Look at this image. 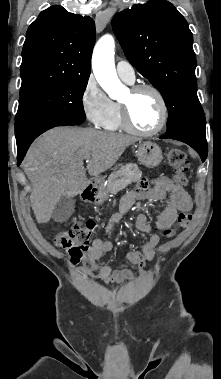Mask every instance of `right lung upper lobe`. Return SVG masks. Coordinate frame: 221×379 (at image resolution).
<instances>
[{
    "label": "right lung upper lobe",
    "instance_id": "right-lung-upper-lobe-1",
    "mask_svg": "<svg viewBox=\"0 0 221 379\" xmlns=\"http://www.w3.org/2000/svg\"><path fill=\"white\" fill-rule=\"evenodd\" d=\"M95 25L89 16L54 5L29 26L22 50L21 89L89 78Z\"/></svg>",
    "mask_w": 221,
    "mask_h": 379
}]
</instances>
